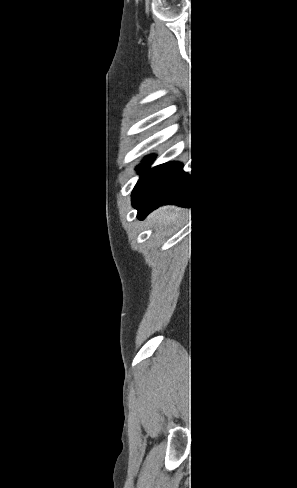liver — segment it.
I'll return each instance as SVG.
<instances>
[{
	"label": "liver",
	"mask_w": 297,
	"mask_h": 488,
	"mask_svg": "<svg viewBox=\"0 0 297 488\" xmlns=\"http://www.w3.org/2000/svg\"><path fill=\"white\" fill-rule=\"evenodd\" d=\"M183 214L184 212H181V210L178 208L164 207L153 212L150 218L155 224H163L169 221L173 222L176 218H179Z\"/></svg>",
	"instance_id": "obj_1"
}]
</instances>
